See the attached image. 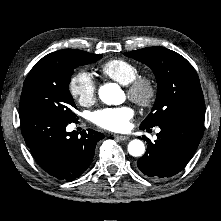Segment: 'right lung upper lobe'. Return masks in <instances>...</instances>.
I'll return each mask as SVG.
<instances>
[{
  "mask_svg": "<svg viewBox=\"0 0 221 221\" xmlns=\"http://www.w3.org/2000/svg\"><path fill=\"white\" fill-rule=\"evenodd\" d=\"M74 51H76V50H74V49L59 50V51H56V52L46 55L45 58H62L65 55L72 53Z\"/></svg>",
  "mask_w": 221,
  "mask_h": 221,
  "instance_id": "1",
  "label": "right lung upper lobe"
}]
</instances>
